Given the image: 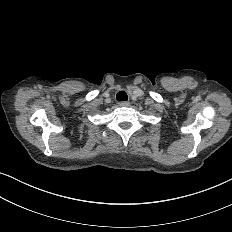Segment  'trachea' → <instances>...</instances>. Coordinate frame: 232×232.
Masks as SVG:
<instances>
[{"label":"trachea","instance_id":"obj_1","mask_svg":"<svg viewBox=\"0 0 232 232\" xmlns=\"http://www.w3.org/2000/svg\"><path fill=\"white\" fill-rule=\"evenodd\" d=\"M116 98H117L118 101H126V100H128V96H127L125 91L118 92Z\"/></svg>","mask_w":232,"mask_h":232}]
</instances>
